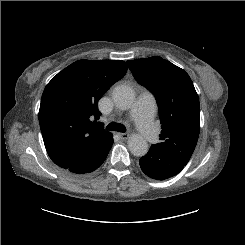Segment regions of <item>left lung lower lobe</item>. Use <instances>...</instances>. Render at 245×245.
Wrapping results in <instances>:
<instances>
[{"mask_svg": "<svg viewBox=\"0 0 245 245\" xmlns=\"http://www.w3.org/2000/svg\"><path fill=\"white\" fill-rule=\"evenodd\" d=\"M141 170L150 178L165 180L177 175L184 164L174 159L167 152L150 147L148 153L140 158Z\"/></svg>", "mask_w": 245, "mask_h": 245, "instance_id": "obj_1", "label": "left lung lower lobe"}]
</instances>
